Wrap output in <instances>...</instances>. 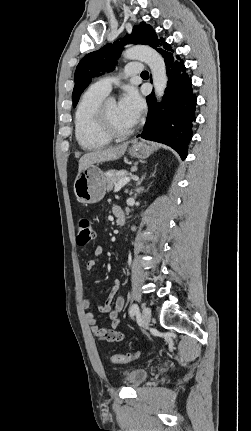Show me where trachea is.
<instances>
[{
	"mask_svg": "<svg viewBox=\"0 0 251 431\" xmlns=\"http://www.w3.org/2000/svg\"><path fill=\"white\" fill-rule=\"evenodd\" d=\"M141 75H148V72H147V71H143V72L141 73Z\"/></svg>",
	"mask_w": 251,
	"mask_h": 431,
	"instance_id": "obj_1",
	"label": "trachea"
}]
</instances>
